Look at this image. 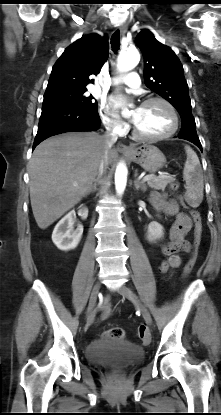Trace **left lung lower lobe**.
<instances>
[{"label":"left lung lower lobe","instance_id":"0a47b994","mask_svg":"<svg viewBox=\"0 0 221 415\" xmlns=\"http://www.w3.org/2000/svg\"><path fill=\"white\" fill-rule=\"evenodd\" d=\"M178 138L188 140L197 145L202 151V146L196 133V127H182Z\"/></svg>","mask_w":221,"mask_h":415}]
</instances>
